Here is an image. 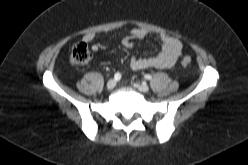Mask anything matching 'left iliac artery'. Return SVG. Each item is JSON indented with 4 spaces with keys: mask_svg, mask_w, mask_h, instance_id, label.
Instances as JSON below:
<instances>
[{
    "mask_svg": "<svg viewBox=\"0 0 248 165\" xmlns=\"http://www.w3.org/2000/svg\"><path fill=\"white\" fill-rule=\"evenodd\" d=\"M144 78H145L146 80H150L152 77H151L150 74H146V75L144 76Z\"/></svg>",
    "mask_w": 248,
    "mask_h": 165,
    "instance_id": "left-iliac-artery-1",
    "label": "left iliac artery"
}]
</instances>
